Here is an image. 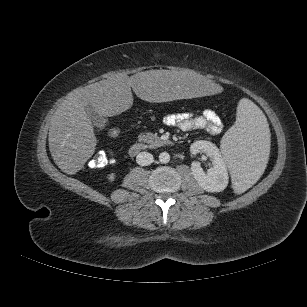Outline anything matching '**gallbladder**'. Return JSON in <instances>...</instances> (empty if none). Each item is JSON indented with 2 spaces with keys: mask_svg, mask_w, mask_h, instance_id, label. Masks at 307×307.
Masks as SVG:
<instances>
[{
  "mask_svg": "<svg viewBox=\"0 0 307 307\" xmlns=\"http://www.w3.org/2000/svg\"><path fill=\"white\" fill-rule=\"evenodd\" d=\"M86 110L90 120L94 123L95 126H97L98 128H103L106 125L107 120L93 107L88 106Z\"/></svg>",
  "mask_w": 307,
  "mask_h": 307,
  "instance_id": "1",
  "label": "gallbladder"
}]
</instances>
